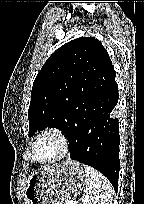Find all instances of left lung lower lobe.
Listing matches in <instances>:
<instances>
[{
	"label": "left lung lower lobe",
	"mask_w": 144,
	"mask_h": 204,
	"mask_svg": "<svg viewBox=\"0 0 144 204\" xmlns=\"http://www.w3.org/2000/svg\"><path fill=\"white\" fill-rule=\"evenodd\" d=\"M111 61L96 69L86 92V104L69 138L70 158L100 171L118 189L120 135L113 111L119 94Z\"/></svg>",
	"instance_id": "0a47b994"
}]
</instances>
